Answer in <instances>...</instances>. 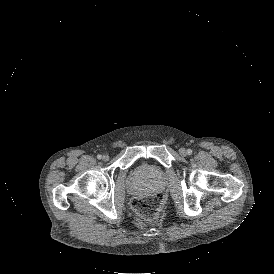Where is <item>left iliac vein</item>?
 Listing matches in <instances>:
<instances>
[{
	"mask_svg": "<svg viewBox=\"0 0 274 274\" xmlns=\"http://www.w3.org/2000/svg\"><path fill=\"white\" fill-rule=\"evenodd\" d=\"M179 153L182 156H186L187 155V150L185 148H180Z\"/></svg>",
	"mask_w": 274,
	"mask_h": 274,
	"instance_id": "left-iliac-vein-1",
	"label": "left iliac vein"
}]
</instances>
